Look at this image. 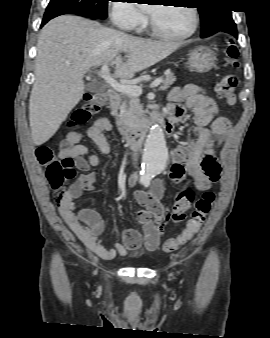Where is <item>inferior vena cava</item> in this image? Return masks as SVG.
<instances>
[{
	"label": "inferior vena cava",
	"mask_w": 270,
	"mask_h": 338,
	"mask_svg": "<svg viewBox=\"0 0 270 338\" xmlns=\"http://www.w3.org/2000/svg\"><path fill=\"white\" fill-rule=\"evenodd\" d=\"M132 150H133V160L137 161V152L134 147H132Z\"/></svg>",
	"instance_id": "1"
}]
</instances>
